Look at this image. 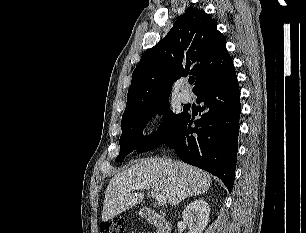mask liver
I'll use <instances>...</instances> for the list:
<instances>
[{
    "mask_svg": "<svg viewBox=\"0 0 306 233\" xmlns=\"http://www.w3.org/2000/svg\"><path fill=\"white\" fill-rule=\"evenodd\" d=\"M211 182L208 173L184 162L167 158L142 160L110 180L105 192L102 221L112 219L143 200V193L129 190L133 185H147L175 206L187 197L206 192Z\"/></svg>",
    "mask_w": 306,
    "mask_h": 233,
    "instance_id": "liver-1",
    "label": "liver"
}]
</instances>
